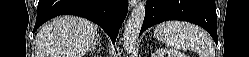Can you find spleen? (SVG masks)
Here are the masks:
<instances>
[{
    "label": "spleen",
    "mask_w": 249,
    "mask_h": 57,
    "mask_svg": "<svg viewBox=\"0 0 249 57\" xmlns=\"http://www.w3.org/2000/svg\"><path fill=\"white\" fill-rule=\"evenodd\" d=\"M154 36L172 48L194 51L200 57H214L210 37L197 25L185 21H166L155 27Z\"/></svg>",
    "instance_id": "1"
}]
</instances>
